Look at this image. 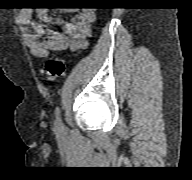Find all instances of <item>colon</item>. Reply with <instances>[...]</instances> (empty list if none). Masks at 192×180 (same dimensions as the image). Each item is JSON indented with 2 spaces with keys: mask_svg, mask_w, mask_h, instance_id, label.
Listing matches in <instances>:
<instances>
[{
  "mask_svg": "<svg viewBox=\"0 0 192 180\" xmlns=\"http://www.w3.org/2000/svg\"><path fill=\"white\" fill-rule=\"evenodd\" d=\"M65 71V65L61 58L54 57L49 59L44 66V74L47 80L55 81L59 79Z\"/></svg>",
  "mask_w": 192,
  "mask_h": 180,
  "instance_id": "1",
  "label": "colon"
}]
</instances>
